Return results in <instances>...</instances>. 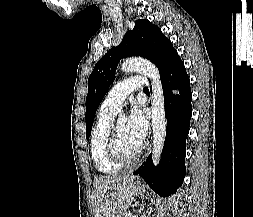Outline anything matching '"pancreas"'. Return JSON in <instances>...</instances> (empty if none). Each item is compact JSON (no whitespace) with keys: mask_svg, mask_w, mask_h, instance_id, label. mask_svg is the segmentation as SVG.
<instances>
[{"mask_svg":"<svg viewBox=\"0 0 253 217\" xmlns=\"http://www.w3.org/2000/svg\"><path fill=\"white\" fill-rule=\"evenodd\" d=\"M124 217H128V215L127 214H125V216Z\"/></svg>","mask_w":253,"mask_h":217,"instance_id":"1","label":"pancreas"}]
</instances>
